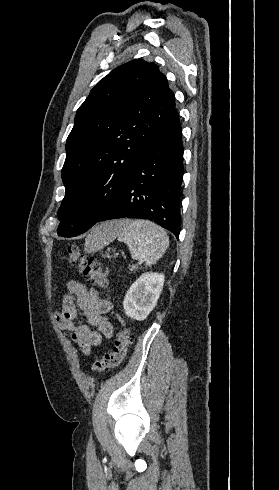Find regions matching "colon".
Returning <instances> with one entry per match:
<instances>
[{
  "label": "colon",
  "instance_id": "5ec220e1",
  "mask_svg": "<svg viewBox=\"0 0 279 490\" xmlns=\"http://www.w3.org/2000/svg\"><path fill=\"white\" fill-rule=\"evenodd\" d=\"M66 257L93 287L97 289L109 287L108 271L94 257L82 253L76 244L68 245ZM132 343L133 335L128 328L118 330L114 338L113 351L96 359L92 369L95 372H103L118 367L127 356Z\"/></svg>",
  "mask_w": 279,
  "mask_h": 490
}]
</instances>
